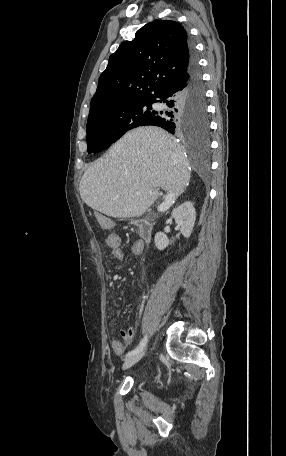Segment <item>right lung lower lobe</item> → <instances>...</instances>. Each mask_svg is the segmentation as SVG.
Returning a JSON list of instances; mask_svg holds the SVG:
<instances>
[{"mask_svg": "<svg viewBox=\"0 0 286 456\" xmlns=\"http://www.w3.org/2000/svg\"><path fill=\"white\" fill-rule=\"evenodd\" d=\"M156 102L164 103L170 109L155 111L147 125L160 126L172 134L175 131L206 134L193 129L194 126L206 124V130H208L205 90L193 48L192 58L184 78L162 92L154 100V103Z\"/></svg>", "mask_w": 286, "mask_h": 456, "instance_id": "1", "label": "right lung lower lobe"}]
</instances>
